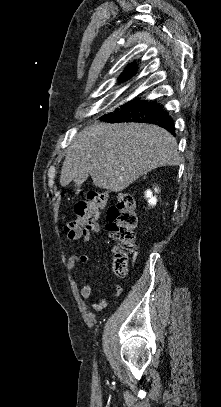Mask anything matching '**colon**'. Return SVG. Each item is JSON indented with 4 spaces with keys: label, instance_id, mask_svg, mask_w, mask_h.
Instances as JSON below:
<instances>
[{
    "label": "colon",
    "instance_id": "obj_1",
    "mask_svg": "<svg viewBox=\"0 0 221 407\" xmlns=\"http://www.w3.org/2000/svg\"><path fill=\"white\" fill-rule=\"evenodd\" d=\"M111 194L109 190L92 191L88 194L87 201L75 206V218L64 228L70 239L90 238L97 231L100 210L105 208ZM115 196L116 203L108 212L107 229L117 243L113 251V271L117 277L124 278L128 274V255L136 247L137 216L132 195L115 193Z\"/></svg>",
    "mask_w": 221,
    "mask_h": 407
}]
</instances>
